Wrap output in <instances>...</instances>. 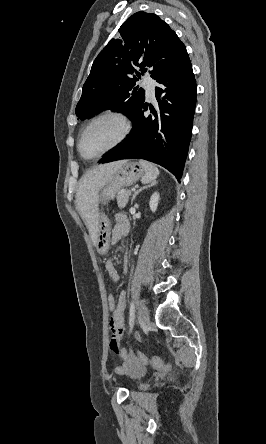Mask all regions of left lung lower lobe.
<instances>
[{"instance_id":"obj_1","label":"left lung lower lobe","mask_w":266,"mask_h":444,"mask_svg":"<svg viewBox=\"0 0 266 444\" xmlns=\"http://www.w3.org/2000/svg\"><path fill=\"white\" fill-rule=\"evenodd\" d=\"M155 88L159 113L144 116L143 104L133 117V129L128 139L99 163L119 159H144L168 169L180 182L192 134L196 104V81L186 52L165 74L156 79Z\"/></svg>"}]
</instances>
